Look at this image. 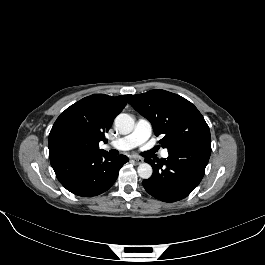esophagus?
Here are the masks:
<instances>
[{
    "label": "esophagus",
    "mask_w": 265,
    "mask_h": 265,
    "mask_svg": "<svg viewBox=\"0 0 265 265\" xmlns=\"http://www.w3.org/2000/svg\"><path fill=\"white\" fill-rule=\"evenodd\" d=\"M132 159L136 164H141L143 162V159L139 157H133Z\"/></svg>",
    "instance_id": "34e87169"
}]
</instances>
